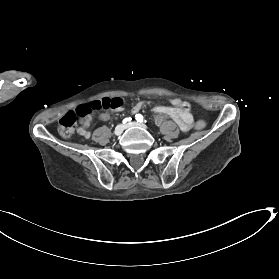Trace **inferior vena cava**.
I'll return each instance as SVG.
<instances>
[{
  "label": "inferior vena cava",
  "instance_id": "inferior-vena-cava-1",
  "mask_svg": "<svg viewBox=\"0 0 279 279\" xmlns=\"http://www.w3.org/2000/svg\"><path fill=\"white\" fill-rule=\"evenodd\" d=\"M118 126H121V127L123 128V130H124V128H125V125H118Z\"/></svg>",
  "mask_w": 279,
  "mask_h": 279
}]
</instances>
